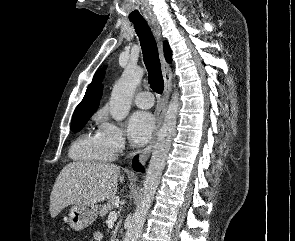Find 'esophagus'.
<instances>
[{
	"label": "esophagus",
	"instance_id": "34e87169",
	"mask_svg": "<svg viewBox=\"0 0 295 241\" xmlns=\"http://www.w3.org/2000/svg\"><path fill=\"white\" fill-rule=\"evenodd\" d=\"M148 22L152 26L153 32H154L155 36L157 37V40L159 41V44H160V58H161V65H162V74H163V79H164V92H163V96L161 98V101L159 102L158 107H157V125H156V129H155V133L153 135V138L149 142V144L144 149H142L140 152L139 162L142 165H145V163L147 162V160L152 152V149L154 147L158 131L161 127V124H162V121H163V118L165 115L169 95L171 92V79H172L171 68H170L169 64L166 62V60L163 56V52H162V45H161V41H160V39H161L160 27L157 24L155 19H149Z\"/></svg>",
	"mask_w": 295,
	"mask_h": 241
}]
</instances>
